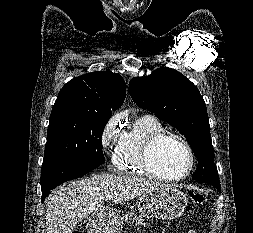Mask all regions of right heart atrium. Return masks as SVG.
<instances>
[{
  "instance_id": "1",
  "label": "right heart atrium",
  "mask_w": 253,
  "mask_h": 233,
  "mask_svg": "<svg viewBox=\"0 0 253 233\" xmlns=\"http://www.w3.org/2000/svg\"><path fill=\"white\" fill-rule=\"evenodd\" d=\"M121 121V116L115 115L105 124L101 135V145L104 151H107L117 141L120 135Z\"/></svg>"
}]
</instances>
